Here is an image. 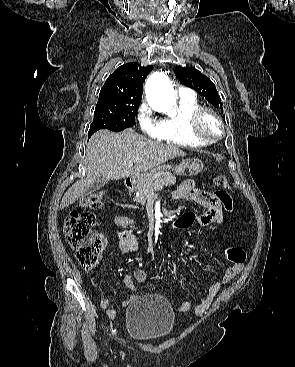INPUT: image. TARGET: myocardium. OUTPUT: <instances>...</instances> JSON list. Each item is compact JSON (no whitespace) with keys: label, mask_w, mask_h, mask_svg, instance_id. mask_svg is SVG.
Here are the masks:
<instances>
[{"label":"myocardium","mask_w":295,"mask_h":367,"mask_svg":"<svg viewBox=\"0 0 295 367\" xmlns=\"http://www.w3.org/2000/svg\"><path fill=\"white\" fill-rule=\"evenodd\" d=\"M212 117L219 125V133L216 136H209L203 129V122L206 117ZM189 129L193 137L205 144H212L219 141L225 134V125L221 117L213 109L200 107L195 110L189 119Z\"/></svg>","instance_id":"obj_1"}]
</instances>
